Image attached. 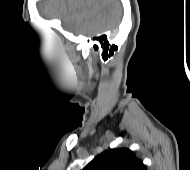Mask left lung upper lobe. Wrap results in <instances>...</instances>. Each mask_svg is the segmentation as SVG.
Returning a JSON list of instances; mask_svg holds the SVG:
<instances>
[{"label": "left lung upper lobe", "instance_id": "1", "mask_svg": "<svg viewBox=\"0 0 190 170\" xmlns=\"http://www.w3.org/2000/svg\"><path fill=\"white\" fill-rule=\"evenodd\" d=\"M82 170H146L143 162L128 148L107 150Z\"/></svg>", "mask_w": 190, "mask_h": 170}]
</instances>
